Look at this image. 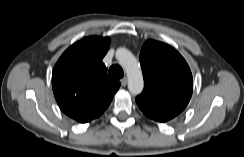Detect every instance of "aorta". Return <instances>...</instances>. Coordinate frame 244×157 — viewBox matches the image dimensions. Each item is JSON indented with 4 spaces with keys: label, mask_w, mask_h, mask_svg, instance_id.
<instances>
[{
    "label": "aorta",
    "mask_w": 244,
    "mask_h": 157,
    "mask_svg": "<svg viewBox=\"0 0 244 157\" xmlns=\"http://www.w3.org/2000/svg\"><path fill=\"white\" fill-rule=\"evenodd\" d=\"M116 58L126 71L130 93L134 95L140 94L144 87V81L142 71L135 56L129 50L119 48L116 51Z\"/></svg>",
    "instance_id": "obj_1"
}]
</instances>
